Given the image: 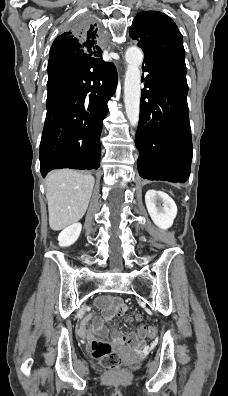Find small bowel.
Masks as SVG:
<instances>
[{
  "instance_id": "small-bowel-1",
  "label": "small bowel",
  "mask_w": 228,
  "mask_h": 396,
  "mask_svg": "<svg viewBox=\"0 0 228 396\" xmlns=\"http://www.w3.org/2000/svg\"><path fill=\"white\" fill-rule=\"evenodd\" d=\"M98 307L102 311V317H97L93 320L92 327L101 334L107 333V328L104 325V321H110L113 317L122 315L126 312L127 308L123 304L122 300L117 297L105 296L101 297L97 301ZM89 320L85 319L79 329L81 337L89 336ZM146 337V329L140 327L138 333H130L127 336L119 332H114V338L118 342H127L130 346L137 347L144 344Z\"/></svg>"
}]
</instances>
